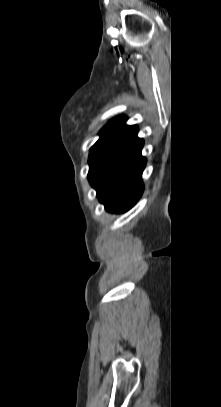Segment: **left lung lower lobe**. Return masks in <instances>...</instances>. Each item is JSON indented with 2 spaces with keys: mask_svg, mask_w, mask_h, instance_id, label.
<instances>
[{
  "mask_svg": "<svg viewBox=\"0 0 221 407\" xmlns=\"http://www.w3.org/2000/svg\"><path fill=\"white\" fill-rule=\"evenodd\" d=\"M136 126H128L99 157L88 173L99 201L110 212L128 211L143 193L142 172L146 158L141 155L143 139Z\"/></svg>",
  "mask_w": 221,
  "mask_h": 407,
  "instance_id": "0a47b994",
  "label": "left lung lower lobe"
}]
</instances>
